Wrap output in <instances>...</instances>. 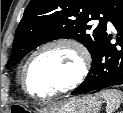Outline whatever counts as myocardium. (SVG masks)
Segmentation results:
<instances>
[{
	"mask_svg": "<svg viewBox=\"0 0 123 113\" xmlns=\"http://www.w3.org/2000/svg\"><path fill=\"white\" fill-rule=\"evenodd\" d=\"M58 46H64L72 49L78 58V70L74 78H72L70 81H68L63 86L49 92L48 94H34L29 91L26 85V73L27 69L32 62V60L37 57L40 53L44 52L45 50H48L50 48L58 47ZM90 66H91V55L88 50V48L78 39L73 37H58L55 39H52L50 41H47L37 47L26 59L24 62L22 69H21V85L23 89L32 97L39 98V99H49L53 96H56L58 94L65 93L76 86L80 85L87 75L90 72Z\"/></svg>",
	"mask_w": 123,
	"mask_h": 113,
	"instance_id": "f54148a6",
	"label": "myocardium"
}]
</instances>
